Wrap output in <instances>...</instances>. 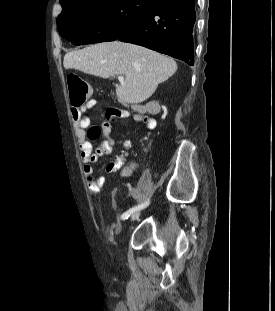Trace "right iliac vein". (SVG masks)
<instances>
[{
	"label": "right iliac vein",
	"mask_w": 275,
	"mask_h": 311,
	"mask_svg": "<svg viewBox=\"0 0 275 311\" xmlns=\"http://www.w3.org/2000/svg\"><path fill=\"white\" fill-rule=\"evenodd\" d=\"M140 214H141V210L135 211V212L131 215V220H132V221L137 220V219L139 218Z\"/></svg>",
	"instance_id": "obj_1"
}]
</instances>
